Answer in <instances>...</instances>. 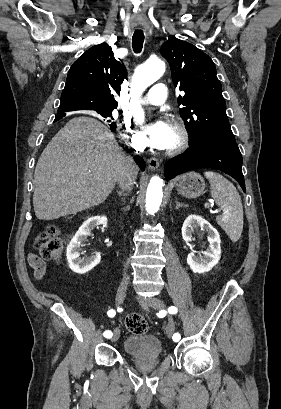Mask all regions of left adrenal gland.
<instances>
[{
  "label": "left adrenal gland",
  "instance_id": "1",
  "mask_svg": "<svg viewBox=\"0 0 281 409\" xmlns=\"http://www.w3.org/2000/svg\"><path fill=\"white\" fill-rule=\"evenodd\" d=\"M175 202H176L175 209H180V207H188V205H183V202H178V200H175Z\"/></svg>",
  "mask_w": 281,
  "mask_h": 409
}]
</instances>
